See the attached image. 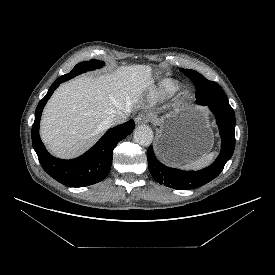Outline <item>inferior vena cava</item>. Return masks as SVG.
Returning a JSON list of instances; mask_svg holds the SVG:
<instances>
[{"instance_id": "inferior-vena-cava-1", "label": "inferior vena cava", "mask_w": 275, "mask_h": 275, "mask_svg": "<svg viewBox=\"0 0 275 275\" xmlns=\"http://www.w3.org/2000/svg\"><path fill=\"white\" fill-rule=\"evenodd\" d=\"M129 112L130 111H126V112L116 111L115 113L108 116L104 122H105V124H107L109 126L122 124V123L126 122Z\"/></svg>"}]
</instances>
